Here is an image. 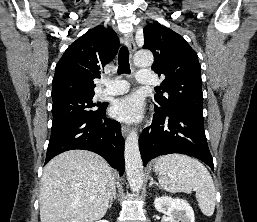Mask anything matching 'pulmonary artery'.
Here are the masks:
<instances>
[{"label":"pulmonary artery","mask_w":257,"mask_h":222,"mask_svg":"<svg viewBox=\"0 0 257 222\" xmlns=\"http://www.w3.org/2000/svg\"><path fill=\"white\" fill-rule=\"evenodd\" d=\"M136 78L141 84L151 85L154 83V73L149 71L138 72ZM104 84L105 88L102 90L103 95H118L129 90V84L124 80L106 81Z\"/></svg>","instance_id":"pulmonary-artery-1"}]
</instances>
